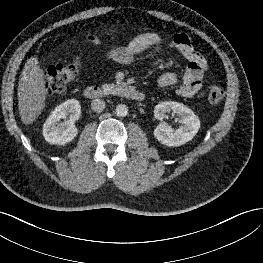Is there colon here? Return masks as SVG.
I'll return each mask as SVG.
<instances>
[{"instance_id": "obj_1", "label": "colon", "mask_w": 263, "mask_h": 263, "mask_svg": "<svg viewBox=\"0 0 263 263\" xmlns=\"http://www.w3.org/2000/svg\"><path fill=\"white\" fill-rule=\"evenodd\" d=\"M80 66L79 59L68 64L51 65L45 71V90L48 94L60 93L75 78ZM224 90L219 85H211L208 89V100L218 103L224 98Z\"/></svg>"}]
</instances>
